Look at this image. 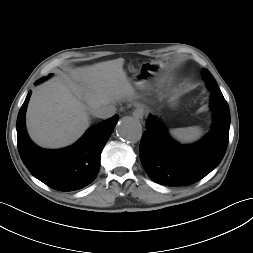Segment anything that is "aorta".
<instances>
[{"label": "aorta", "instance_id": "aorta-1", "mask_svg": "<svg viewBox=\"0 0 253 253\" xmlns=\"http://www.w3.org/2000/svg\"><path fill=\"white\" fill-rule=\"evenodd\" d=\"M117 135L124 141L136 143L141 139L142 126L132 117H125L116 126Z\"/></svg>", "mask_w": 253, "mask_h": 253}]
</instances>
